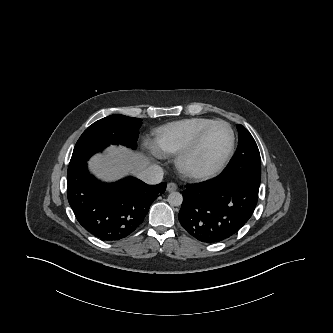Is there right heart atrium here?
<instances>
[{
    "label": "right heart atrium",
    "instance_id": "right-heart-atrium-1",
    "mask_svg": "<svg viewBox=\"0 0 333 333\" xmlns=\"http://www.w3.org/2000/svg\"><path fill=\"white\" fill-rule=\"evenodd\" d=\"M151 151H152V153L156 154L155 150L152 149Z\"/></svg>",
    "mask_w": 333,
    "mask_h": 333
}]
</instances>
